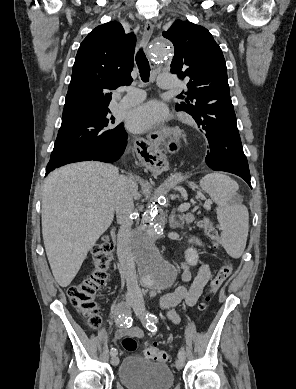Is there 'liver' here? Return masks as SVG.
I'll list each match as a JSON object with an SVG mask.
<instances>
[{
    "instance_id": "1",
    "label": "liver",
    "mask_w": 296,
    "mask_h": 389,
    "mask_svg": "<svg viewBox=\"0 0 296 389\" xmlns=\"http://www.w3.org/2000/svg\"><path fill=\"white\" fill-rule=\"evenodd\" d=\"M118 168L86 161L48 175L42 194V234L55 280L67 287L114 218ZM134 183V198L139 199Z\"/></svg>"
}]
</instances>
